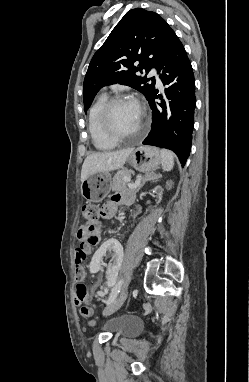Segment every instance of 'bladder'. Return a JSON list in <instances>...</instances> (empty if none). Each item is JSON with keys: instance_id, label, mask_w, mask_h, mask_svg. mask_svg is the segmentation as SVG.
Listing matches in <instances>:
<instances>
[{"instance_id": "1", "label": "bladder", "mask_w": 249, "mask_h": 382, "mask_svg": "<svg viewBox=\"0 0 249 382\" xmlns=\"http://www.w3.org/2000/svg\"><path fill=\"white\" fill-rule=\"evenodd\" d=\"M105 327L113 336H131L141 329L139 320L134 317L113 319Z\"/></svg>"}]
</instances>
